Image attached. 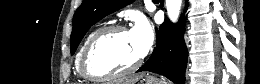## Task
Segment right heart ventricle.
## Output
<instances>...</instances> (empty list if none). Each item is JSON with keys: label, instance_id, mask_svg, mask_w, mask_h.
Returning <instances> with one entry per match:
<instances>
[{"label": "right heart ventricle", "instance_id": "obj_1", "mask_svg": "<svg viewBox=\"0 0 260 84\" xmlns=\"http://www.w3.org/2000/svg\"><path fill=\"white\" fill-rule=\"evenodd\" d=\"M98 31V29H95V30H92L91 32L88 33V35L85 37L84 41L82 42L78 52H77V55H76V58H75V68H76V71L78 73V75L82 78H84L82 76V73H81V70H80V61H81V57H82V54H83V51H84V48L86 46V44L88 43V41L90 40V38Z\"/></svg>", "mask_w": 260, "mask_h": 84}]
</instances>
